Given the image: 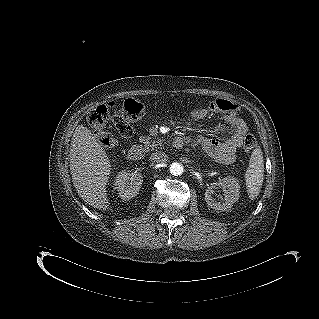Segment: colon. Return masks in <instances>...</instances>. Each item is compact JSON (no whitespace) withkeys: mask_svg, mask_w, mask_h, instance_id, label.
Segmentation results:
<instances>
[{"mask_svg":"<svg viewBox=\"0 0 319 319\" xmlns=\"http://www.w3.org/2000/svg\"><path fill=\"white\" fill-rule=\"evenodd\" d=\"M115 106V103H107L99 105L88 112L87 121L94 128L99 130V136L102 143L107 148H114L118 144V140L115 136L110 133L102 132L101 129L105 126L108 119L111 117L110 110ZM212 108L219 111H235L237 110V105L233 102L225 99H217L212 103ZM144 112V105L134 99L126 100L122 105V112H115L112 115V119L115 125L120 130L123 135H127L130 132V126L127 122L129 118H136L142 115ZM126 114V119L124 114ZM243 150L245 152L249 151L254 144V138L251 135H246L242 141Z\"/></svg>","mask_w":319,"mask_h":319,"instance_id":"5ec220e1","label":"colon"}]
</instances>
